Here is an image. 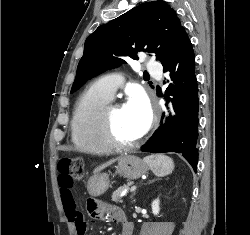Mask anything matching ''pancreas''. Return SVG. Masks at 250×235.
<instances>
[{
	"instance_id": "obj_1",
	"label": "pancreas",
	"mask_w": 250,
	"mask_h": 235,
	"mask_svg": "<svg viewBox=\"0 0 250 235\" xmlns=\"http://www.w3.org/2000/svg\"><path fill=\"white\" fill-rule=\"evenodd\" d=\"M128 187V185H124L119 187L116 191L112 194V201L115 203H121L122 199L120 198L121 193Z\"/></svg>"
}]
</instances>
